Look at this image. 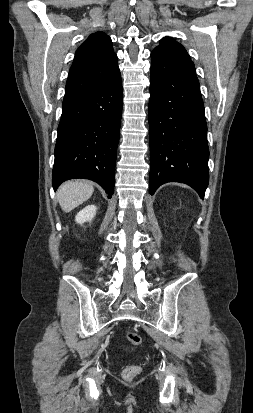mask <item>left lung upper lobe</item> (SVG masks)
<instances>
[{
    "label": "left lung upper lobe",
    "instance_id": "1",
    "mask_svg": "<svg viewBox=\"0 0 253 413\" xmlns=\"http://www.w3.org/2000/svg\"><path fill=\"white\" fill-rule=\"evenodd\" d=\"M154 50L165 53L166 55L171 57L174 61H176L180 65L185 66L186 68L190 69L192 72L195 73V66L193 62L191 61L187 51L181 44L174 41L172 38L170 37L163 38L159 46H157Z\"/></svg>",
    "mask_w": 253,
    "mask_h": 413
}]
</instances>
